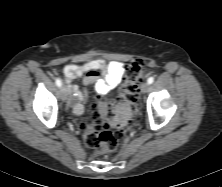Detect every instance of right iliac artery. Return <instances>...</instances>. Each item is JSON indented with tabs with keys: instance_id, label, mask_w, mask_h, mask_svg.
<instances>
[{
	"instance_id": "1",
	"label": "right iliac artery",
	"mask_w": 222,
	"mask_h": 187,
	"mask_svg": "<svg viewBox=\"0 0 222 187\" xmlns=\"http://www.w3.org/2000/svg\"><path fill=\"white\" fill-rule=\"evenodd\" d=\"M55 83L58 87H61L62 85V81L60 79H56Z\"/></svg>"
}]
</instances>
